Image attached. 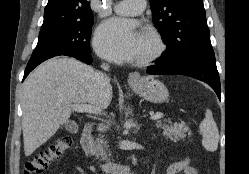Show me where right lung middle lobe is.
<instances>
[{"label": "right lung middle lobe", "mask_w": 249, "mask_h": 174, "mask_svg": "<svg viewBox=\"0 0 249 174\" xmlns=\"http://www.w3.org/2000/svg\"><path fill=\"white\" fill-rule=\"evenodd\" d=\"M93 17L42 27L38 43L29 61L55 53L90 54V35Z\"/></svg>", "instance_id": "obj_1"}]
</instances>
